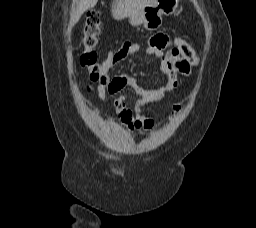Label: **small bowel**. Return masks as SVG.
Listing matches in <instances>:
<instances>
[{"instance_id": "obj_1", "label": "small bowel", "mask_w": 256, "mask_h": 228, "mask_svg": "<svg viewBox=\"0 0 256 228\" xmlns=\"http://www.w3.org/2000/svg\"><path fill=\"white\" fill-rule=\"evenodd\" d=\"M141 47L137 43L125 42L112 55L107 56L103 65V75L99 79L98 95L105 99L108 95H114L129 87L139 96L134 109L126 105V97L120 95L115 100L116 111L123 125L130 130L151 129L154 126L153 119L142 112V107L150 102L162 100L167 94L173 93L179 85V76L190 74L191 65L180 55L169 39L163 33L152 36L146 49V54L158 59L164 80L157 87H145L138 80L127 74L111 76L109 71L114 65L127 57L135 56ZM179 106H173V113L179 111Z\"/></svg>"}]
</instances>
